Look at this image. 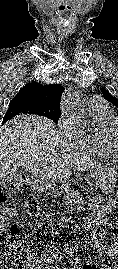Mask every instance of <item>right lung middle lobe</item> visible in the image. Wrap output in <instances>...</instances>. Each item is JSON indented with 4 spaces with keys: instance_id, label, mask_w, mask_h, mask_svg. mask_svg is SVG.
I'll list each match as a JSON object with an SVG mask.
<instances>
[{
    "instance_id": "obj_1",
    "label": "right lung middle lobe",
    "mask_w": 118,
    "mask_h": 269,
    "mask_svg": "<svg viewBox=\"0 0 118 269\" xmlns=\"http://www.w3.org/2000/svg\"><path fill=\"white\" fill-rule=\"evenodd\" d=\"M19 113L45 116L57 123L60 116V108L42 106L25 97H14L9 103L3 123Z\"/></svg>"
}]
</instances>
